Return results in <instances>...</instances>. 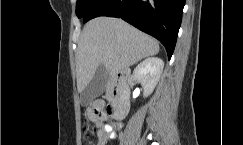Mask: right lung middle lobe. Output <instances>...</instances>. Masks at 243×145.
Wrapping results in <instances>:
<instances>
[{
  "label": "right lung middle lobe",
  "instance_id": "1",
  "mask_svg": "<svg viewBox=\"0 0 243 145\" xmlns=\"http://www.w3.org/2000/svg\"><path fill=\"white\" fill-rule=\"evenodd\" d=\"M97 0H77L76 3V15L78 18H83L87 10L91 7L93 3Z\"/></svg>",
  "mask_w": 243,
  "mask_h": 145
}]
</instances>
